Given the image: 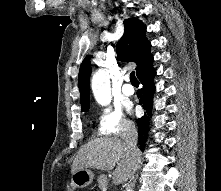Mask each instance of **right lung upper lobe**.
<instances>
[{"instance_id": "cb5924a9", "label": "right lung upper lobe", "mask_w": 221, "mask_h": 191, "mask_svg": "<svg viewBox=\"0 0 221 191\" xmlns=\"http://www.w3.org/2000/svg\"><path fill=\"white\" fill-rule=\"evenodd\" d=\"M125 31L117 43V55L122 61H133L137 64L136 74L153 62L150 53L151 44L145 37L146 26L136 18L124 20ZM91 64L87 56L80 66L78 86L80 90L81 111L89 109V80Z\"/></svg>"}]
</instances>
